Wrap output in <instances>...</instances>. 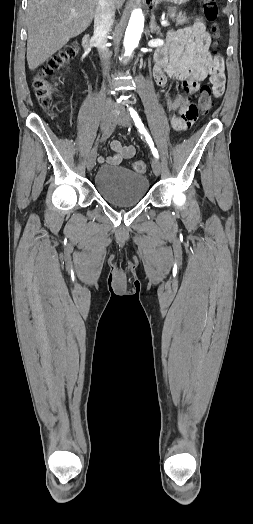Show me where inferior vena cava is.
Here are the masks:
<instances>
[{
  "label": "inferior vena cava",
  "instance_id": "1",
  "mask_svg": "<svg viewBox=\"0 0 253 524\" xmlns=\"http://www.w3.org/2000/svg\"><path fill=\"white\" fill-rule=\"evenodd\" d=\"M115 4L114 0H98L96 13L94 16V39L98 44L99 55L103 67L104 75L109 71L110 52L106 47V36L111 30L114 22ZM107 105H112L110 98L106 101Z\"/></svg>",
  "mask_w": 253,
  "mask_h": 524
}]
</instances>
